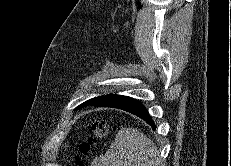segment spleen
<instances>
[{"mask_svg": "<svg viewBox=\"0 0 231 166\" xmlns=\"http://www.w3.org/2000/svg\"><path fill=\"white\" fill-rule=\"evenodd\" d=\"M93 166H160L159 153L153 141L134 128H122L104 154Z\"/></svg>", "mask_w": 231, "mask_h": 166, "instance_id": "spleen-1", "label": "spleen"}]
</instances>
